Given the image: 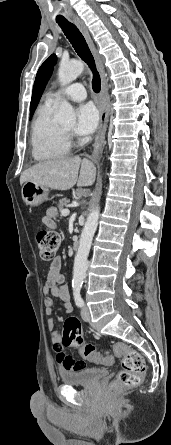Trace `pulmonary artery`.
<instances>
[{"label":"pulmonary artery","mask_w":171,"mask_h":445,"mask_svg":"<svg viewBox=\"0 0 171 445\" xmlns=\"http://www.w3.org/2000/svg\"><path fill=\"white\" fill-rule=\"evenodd\" d=\"M62 96L78 102L84 100L87 95L83 85L73 83L65 88L50 92L47 95L46 102L55 104Z\"/></svg>","instance_id":"obj_1"}]
</instances>
